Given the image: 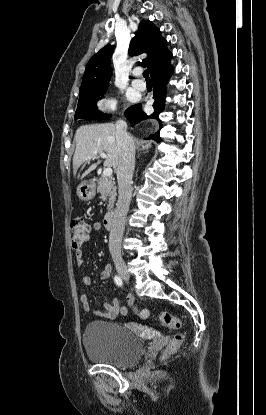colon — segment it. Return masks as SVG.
<instances>
[{
    "mask_svg": "<svg viewBox=\"0 0 266 415\" xmlns=\"http://www.w3.org/2000/svg\"><path fill=\"white\" fill-rule=\"evenodd\" d=\"M89 235L90 227L83 218L77 217L71 221L70 241L73 248H79L82 244H84L89 238ZM136 312L143 319H146L149 315L148 311L145 309L136 310ZM159 322L161 326L168 329L179 330L182 327L181 321L174 315L167 312H163L159 315ZM183 339L184 335L182 333H177L167 346L165 354L174 353L182 344Z\"/></svg>",
    "mask_w": 266,
    "mask_h": 415,
    "instance_id": "colon-1",
    "label": "colon"
}]
</instances>
